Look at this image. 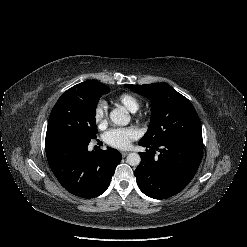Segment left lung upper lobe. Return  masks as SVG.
<instances>
[{
    "instance_id": "left-lung-upper-lobe-1",
    "label": "left lung upper lobe",
    "mask_w": 247,
    "mask_h": 247,
    "mask_svg": "<svg viewBox=\"0 0 247 247\" xmlns=\"http://www.w3.org/2000/svg\"><path fill=\"white\" fill-rule=\"evenodd\" d=\"M127 88L152 102L151 121L139 144H161L171 141L202 143L200 119L191 102L165 83L126 84Z\"/></svg>"
}]
</instances>
